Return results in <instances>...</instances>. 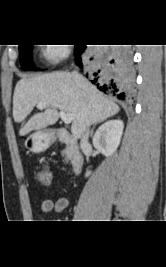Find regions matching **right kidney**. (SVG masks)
<instances>
[{"label": "right kidney", "mask_w": 166, "mask_h": 267, "mask_svg": "<svg viewBox=\"0 0 166 267\" xmlns=\"http://www.w3.org/2000/svg\"><path fill=\"white\" fill-rule=\"evenodd\" d=\"M124 124L121 120H110L99 127L93 137V145L106 157L111 156L118 148L123 134ZM86 173V177L90 175Z\"/></svg>", "instance_id": "obj_1"}]
</instances>
